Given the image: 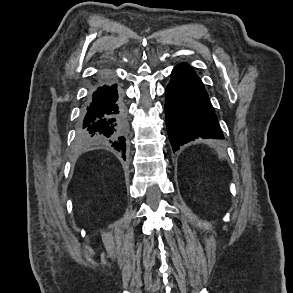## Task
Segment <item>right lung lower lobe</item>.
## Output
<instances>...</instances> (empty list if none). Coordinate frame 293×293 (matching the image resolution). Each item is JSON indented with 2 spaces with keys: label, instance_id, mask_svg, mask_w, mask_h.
Listing matches in <instances>:
<instances>
[{
  "label": "right lung lower lobe",
  "instance_id": "right-lung-lower-lobe-1",
  "mask_svg": "<svg viewBox=\"0 0 293 293\" xmlns=\"http://www.w3.org/2000/svg\"><path fill=\"white\" fill-rule=\"evenodd\" d=\"M77 137L84 145H109L125 160L128 141L126 110L111 74H104L89 93L81 110Z\"/></svg>",
  "mask_w": 293,
  "mask_h": 293
}]
</instances>
